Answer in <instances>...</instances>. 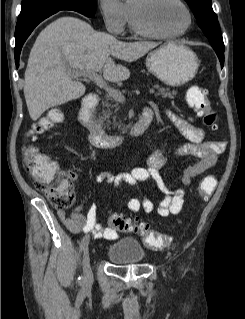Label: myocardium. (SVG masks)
<instances>
[{"label":"myocardium","instance_id":"f54148a6","mask_svg":"<svg viewBox=\"0 0 245 319\" xmlns=\"http://www.w3.org/2000/svg\"><path fill=\"white\" fill-rule=\"evenodd\" d=\"M181 7L184 9L187 15V24L186 26L177 32L166 33L159 31L153 28L146 20V10L152 0H134L130 4L131 17L134 29L137 33L151 38H160V39H174L184 35L192 26L193 17L189 7L183 0H175Z\"/></svg>","mask_w":245,"mask_h":319}]
</instances>
